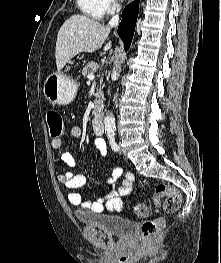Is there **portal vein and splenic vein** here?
I'll use <instances>...</instances> for the list:
<instances>
[{"instance_id": "obj_1", "label": "portal vein and splenic vein", "mask_w": 221, "mask_h": 263, "mask_svg": "<svg viewBox=\"0 0 221 263\" xmlns=\"http://www.w3.org/2000/svg\"><path fill=\"white\" fill-rule=\"evenodd\" d=\"M95 79V75L93 74V73H90L89 75H88V80L89 81H92V80H94Z\"/></svg>"}]
</instances>
